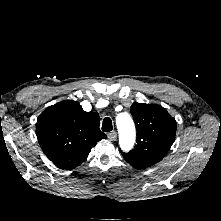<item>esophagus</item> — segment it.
Masks as SVG:
<instances>
[{
  "label": "esophagus",
  "mask_w": 221,
  "mask_h": 221,
  "mask_svg": "<svg viewBox=\"0 0 221 221\" xmlns=\"http://www.w3.org/2000/svg\"><path fill=\"white\" fill-rule=\"evenodd\" d=\"M107 136L110 141H115L117 139V133L115 131L108 133Z\"/></svg>",
  "instance_id": "1"
}]
</instances>
